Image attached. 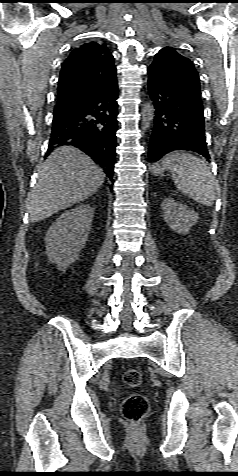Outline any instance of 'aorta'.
I'll list each match as a JSON object with an SVG mask.
<instances>
[{
    "mask_svg": "<svg viewBox=\"0 0 238 476\" xmlns=\"http://www.w3.org/2000/svg\"><path fill=\"white\" fill-rule=\"evenodd\" d=\"M154 117V107L151 101L146 102L142 107V129L147 130Z\"/></svg>",
    "mask_w": 238,
    "mask_h": 476,
    "instance_id": "762f6f07",
    "label": "aorta"
}]
</instances>
